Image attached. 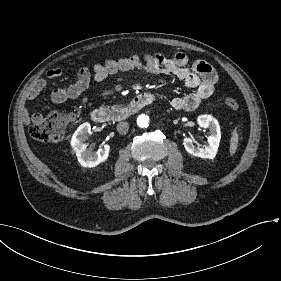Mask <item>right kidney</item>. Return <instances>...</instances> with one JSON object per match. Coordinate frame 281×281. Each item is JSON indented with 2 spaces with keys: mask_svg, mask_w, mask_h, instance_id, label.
I'll use <instances>...</instances> for the list:
<instances>
[{
  "mask_svg": "<svg viewBox=\"0 0 281 281\" xmlns=\"http://www.w3.org/2000/svg\"><path fill=\"white\" fill-rule=\"evenodd\" d=\"M91 133L90 123L85 122L77 128L71 138V147L83 167H95L104 162L109 155V145H104L103 149L99 148L96 152L87 149L86 140Z\"/></svg>",
  "mask_w": 281,
  "mask_h": 281,
  "instance_id": "1",
  "label": "right kidney"
}]
</instances>
